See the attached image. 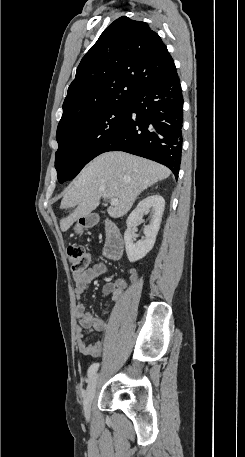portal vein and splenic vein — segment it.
I'll return each mask as SVG.
<instances>
[{
    "label": "portal vein and splenic vein",
    "mask_w": 245,
    "mask_h": 457,
    "mask_svg": "<svg viewBox=\"0 0 245 457\" xmlns=\"http://www.w3.org/2000/svg\"><path fill=\"white\" fill-rule=\"evenodd\" d=\"M110 204H112V206H114V204H119L118 198H111Z\"/></svg>",
    "instance_id": "portal-vein-and-splenic-vein-1"
}]
</instances>
